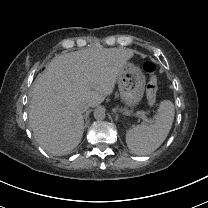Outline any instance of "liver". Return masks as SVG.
I'll list each match as a JSON object with an SVG mask.
<instances>
[{"instance_id": "1", "label": "liver", "mask_w": 208, "mask_h": 208, "mask_svg": "<svg viewBox=\"0 0 208 208\" xmlns=\"http://www.w3.org/2000/svg\"><path fill=\"white\" fill-rule=\"evenodd\" d=\"M133 57L130 49L88 48L54 58L32 86L29 117L37 142L56 155L74 149L84 133L79 104L100 105Z\"/></svg>"}]
</instances>
